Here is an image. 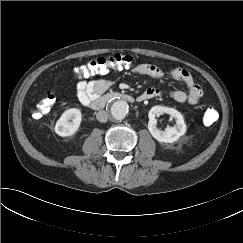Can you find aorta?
I'll return each mask as SVG.
<instances>
[{
    "mask_svg": "<svg viewBox=\"0 0 243 243\" xmlns=\"http://www.w3.org/2000/svg\"><path fill=\"white\" fill-rule=\"evenodd\" d=\"M129 106L124 100H115L110 107V113L116 120H122L128 114Z\"/></svg>",
    "mask_w": 243,
    "mask_h": 243,
    "instance_id": "762f6f07",
    "label": "aorta"
}]
</instances>
